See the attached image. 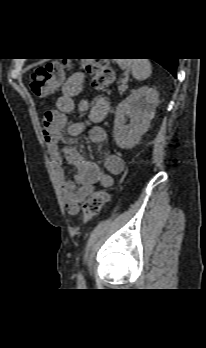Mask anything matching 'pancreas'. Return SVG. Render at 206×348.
<instances>
[{
    "mask_svg": "<svg viewBox=\"0 0 206 348\" xmlns=\"http://www.w3.org/2000/svg\"><path fill=\"white\" fill-rule=\"evenodd\" d=\"M127 90V85L124 82H121V84L118 86V91L120 94L124 93Z\"/></svg>",
    "mask_w": 206,
    "mask_h": 348,
    "instance_id": "cf45deb5",
    "label": "pancreas"
}]
</instances>
